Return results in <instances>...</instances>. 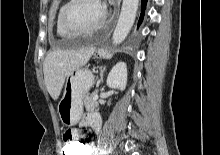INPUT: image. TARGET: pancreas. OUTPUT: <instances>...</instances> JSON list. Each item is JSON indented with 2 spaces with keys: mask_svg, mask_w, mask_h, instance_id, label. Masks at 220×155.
I'll use <instances>...</instances> for the list:
<instances>
[{
  "mask_svg": "<svg viewBox=\"0 0 220 155\" xmlns=\"http://www.w3.org/2000/svg\"><path fill=\"white\" fill-rule=\"evenodd\" d=\"M94 94L85 96L84 105L88 112L94 111L98 107V102L93 100Z\"/></svg>",
  "mask_w": 220,
  "mask_h": 155,
  "instance_id": "obj_1",
  "label": "pancreas"
}]
</instances>
